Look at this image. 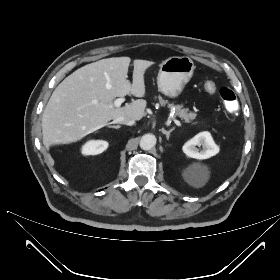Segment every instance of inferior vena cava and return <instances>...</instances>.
<instances>
[{
    "mask_svg": "<svg viewBox=\"0 0 280 280\" xmlns=\"http://www.w3.org/2000/svg\"><path fill=\"white\" fill-rule=\"evenodd\" d=\"M113 123H119V124H123V125H128V126H132L135 124V120L134 119H130L127 117H117L113 120Z\"/></svg>",
    "mask_w": 280,
    "mask_h": 280,
    "instance_id": "602c4592",
    "label": "inferior vena cava"
}]
</instances>
